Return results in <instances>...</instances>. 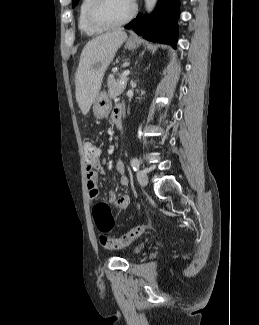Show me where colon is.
Masks as SVG:
<instances>
[{"label":"colon","mask_w":259,"mask_h":325,"mask_svg":"<svg viewBox=\"0 0 259 325\" xmlns=\"http://www.w3.org/2000/svg\"><path fill=\"white\" fill-rule=\"evenodd\" d=\"M83 151L85 159L94 160L98 156V147L91 140H85L83 142ZM93 216L101 232L106 233L113 228L114 219L107 203H97L93 208ZM145 229L146 225L144 224L136 225L130 231L117 238L102 234L100 236V243L108 250L124 248L139 238L144 233Z\"/></svg>","instance_id":"obj_1"}]
</instances>
